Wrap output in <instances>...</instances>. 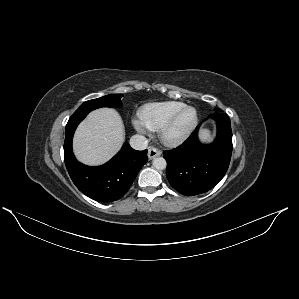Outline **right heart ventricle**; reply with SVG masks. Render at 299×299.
Returning <instances> with one entry per match:
<instances>
[{
	"label": "right heart ventricle",
	"instance_id": "1",
	"mask_svg": "<svg viewBox=\"0 0 299 299\" xmlns=\"http://www.w3.org/2000/svg\"><path fill=\"white\" fill-rule=\"evenodd\" d=\"M186 106L179 101L154 102L145 105L140 111L142 123L150 130H156L178 110Z\"/></svg>",
	"mask_w": 299,
	"mask_h": 299
}]
</instances>
